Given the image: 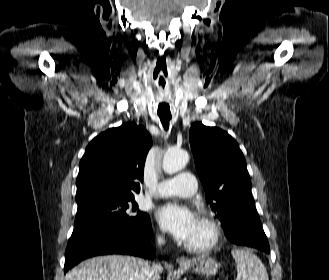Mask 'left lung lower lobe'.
I'll return each mask as SVG.
<instances>
[{
  "label": "left lung lower lobe",
  "mask_w": 329,
  "mask_h": 280,
  "mask_svg": "<svg viewBox=\"0 0 329 280\" xmlns=\"http://www.w3.org/2000/svg\"><path fill=\"white\" fill-rule=\"evenodd\" d=\"M224 230L227 238L237 245L250 246L266 253L270 252L267 237L253 202L238 221L226 225Z\"/></svg>",
  "instance_id": "1"
}]
</instances>
